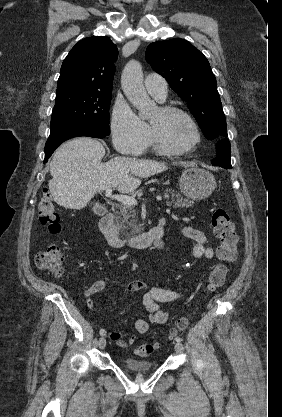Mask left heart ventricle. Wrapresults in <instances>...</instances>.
<instances>
[{
	"mask_svg": "<svg viewBox=\"0 0 282 417\" xmlns=\"http://www.w3.org/2000/svg\"><path fill=\"white\" fill-rule=\"evenodd\" d=\"M148 120L162 139L171 146H183L193 139L190 127L180 116L164 115L158 108Z\"/></svg>",
	"mask_w": 282,
	"mask_h": 417,
	"instance_id": "1",
	"label": "left heart ventricle"
}]
</instances>
